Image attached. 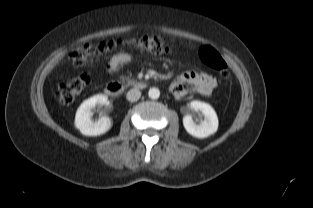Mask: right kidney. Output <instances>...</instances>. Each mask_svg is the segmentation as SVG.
I'll list each match as a JSON object with an SVG mask.
<instances>
[{"label": "right kidney", "instance_id": "ca27d5eb", "mask_svg": "<svg viewBox=\"0 0 313 208\" xmlns=\"http://www.w3.org/2000/svg\"><path fill=\"white\" fill-rule=\"evenodd\" d=\"M104 115L96 122L92 120V109L96 106H103ZM108 97L103 94L95 95L85 100L78 108L74 125L85 136H98L106 133L112 127V120L106 115L108 111Z\"/></svg>", "mask_w": 313, "mask_h": 208}]
</instances>
